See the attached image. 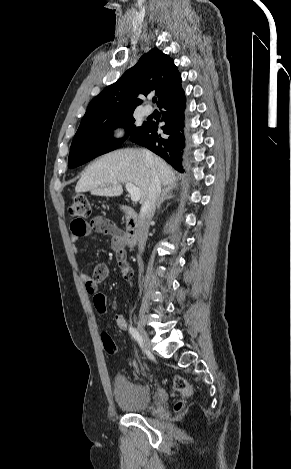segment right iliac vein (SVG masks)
Segmentation results:
<instances>
[{"label": "right iliac vein", "mask_w": 291, "mask_h": 469, "mask_svg": "<svg viewBox=\"0 0 291 469\" xmlns=\"http://www.w3.org/2000/svg\"><path fill=\"white\" fill-rule=\"evenodd\" d=\"M138 330H139V333H140V337H141V339H142V343H143L144 349H145L146 352H149V351H150V344H149V339H148L147 333H146V331L141 327L140 324H138Z\"/></svg>", "instance_id": "63e3f726"}]
</instances>
